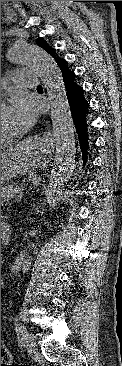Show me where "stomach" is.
Here are the masks:
<instances>
[{
  "instance_id": "stomach-1",
  "label": "stomach",
  "mask_w": 122,
  "mask_h": 366,
  "mask_svg": "<svg viewBox=\"0 0 122 366\" xmlns=\"http://www.w3.org/2000/svg\"><path fill=\"white\" fill-rule=\"evenodd\" d=\"M26 146L33 149L37 148L35 142L32 140L29 141V144ZM26 146L18 151L8 152L5 158H1V184L19 172Z\"/></svg>"
}]
</instances>
